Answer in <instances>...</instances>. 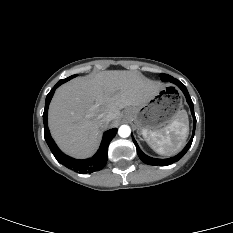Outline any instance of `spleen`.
<instances>
[{
    "instance_id": "3e777b00",
    "label": "spleen",
    "mask_w": 233,
    "mask_h": 233,
    "mask_svg": "<svg viewBox=\"0 0 233 233\" xmlns=\"http://www.w3.org/2000/svg\"><path fill=\"white\" fill-rule=\"evenodd\" d=\"M188 116L185 110L178 111L174 120L157 131L142 133L148 145L158 154L171 155L178 151L188 136Z\"/></svg>"
}]
</instances>
